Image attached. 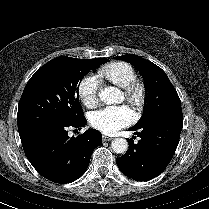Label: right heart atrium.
Instances as JSON below:
<instances>
[{
    "mask_svg": "<svg viewBox=\"0 0 209 209\" xmlns=\"http://www.w3.org/2000/svg\"><path fill=\"white\" fill-rule=\"evenodd\" d=\"M98 90L99 78L94 74H88L78 85V96L85 106L91 107L97 102Z\"/></svg>",
    "mask_w": 209,
    "mask_h": 209,
    "instance_id": "d8ad5b80",
    "label": "right heart atrium"
}]
</instances>
